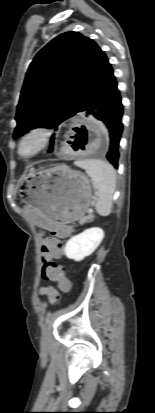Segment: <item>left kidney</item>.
<instances>
[{"label":"left kidney","mask_w":155,"mask_h":413,"mask_svg":"<svg viewBox=\"0 0 155 413\" xmlns=\"http://www.w3.org/2000/svg\"><path fill=\"white\" fill-rule=\"evenodd\" d=\"M104 238L101 228H89L70 238L65 245V255L69 259L81 261L91 255Z\"/></svg>","instance_id":"1"}]
</instances>
